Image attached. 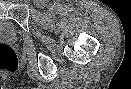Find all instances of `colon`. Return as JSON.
I'll use <instances>...</instances> for the list:
<instances>
[{
	"label": "colon",
	"instance_id": "5ec220e1",
	"mask_svg": "<svg viewBox=\"0 0 131 89\" xmlns=\"http://www.w3.org/2000/svg\"><path fill=\"white\" fill-rule=\"evenodd\" d=\"M17 69L18 59L15 51L7 45H0V71L16 72Z\"/></svg>",
	"mask_w": 131,
	"mask_h": 89
}]
</instances>
